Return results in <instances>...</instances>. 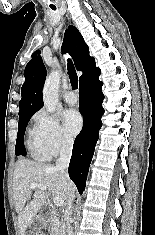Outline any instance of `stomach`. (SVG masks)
<instances>
[{"label": "stomach", "instance_id": "stomach-1", "mask_svg": "<svg viewBox=\"0 0 155 235\" xmlns=\"http://www.w3.org/2000/svg\"><path fill=\"white\" fill-rule=\"evenodd\" d=\"M46 225V220L42 215H36L31 224L29 225L31 232H37L39 230H41L42 228H44Z\"/></svg>", "mask_w": 155, "mask_h": 235}]
</instances>
